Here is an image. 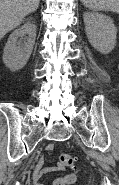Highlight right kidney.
<instances>
[{"label":"right kidney","mask_w":119,"mask_h":185,"mask_svg":"<svg viewBox=\"0 0 119 185\" xmlns=\"http://www.w3.org/2000/svg\"><path fill=\"white\" fill-rule=\"evenodd\" d=\"M35 38L36 26L31 21L13 31L8 38L3 53V63L6 67L11 71L23 68L32 53Z\"/></svg>","instance_id":"obj_1"}]
</instances>
